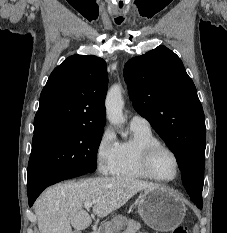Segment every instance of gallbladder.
<instances>
[{
  "mask_svg": "<svg viewBox=\"0 0 227 233\" xmlns=\"http://www.w3.org/2000/svg\"><path fill=\"white\" fill-rule=\"evenodd\" d=\"M73 233H82L81 231H74Z\"/></svg>",
  "mask_w": 227,
  "mask_h": 233,
  "instance_id": "bac80fb5",
  "label": "gallbladder"
}]
</instances>
